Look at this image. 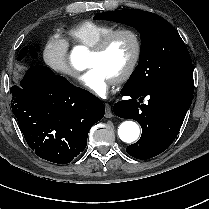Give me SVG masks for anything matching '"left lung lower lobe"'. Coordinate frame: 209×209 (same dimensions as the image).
Masks as SVG:
<instances>
[{"mask_svg": "<svg viewBox=\"0 0 209 209\" xmlns=\"http://www.w3.org/2000/svg\"><path fill=\"white\" fill-rule=\"evenodd\" d=\"M113 111L121 118L136 120L141 138L126 151L137 159H150L165 151L175 140L193 98V74L143 87L124 85ZM147 97L148 102L143 104Z\"/></svg>", "mask_w": 209, "mask_h": 209, "instance_id": "0a47b994", "label": "left lung lower lobe"}]
</instances>
